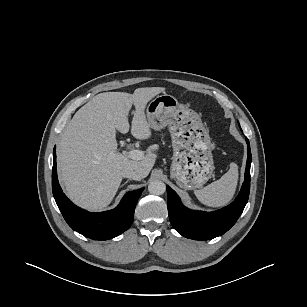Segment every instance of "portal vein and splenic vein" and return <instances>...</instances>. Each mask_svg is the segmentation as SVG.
I'll return each instance as SVG.
<instances>
[{
    "mask_svg": "<svg viewBox=\"0 0 307 307\" xmlns=\"http://www.w3.org/2000/svg\"><path fill=\"white\" fill-rule=\"evenodd\" d=\"M128 157L133 159V160H142L144 158V153L143 151L132 149L128 152Z\"/></svg>",
    "mask_w": 307,
    "mask_h": 307,
    "instance_id": "obj_1",
    "label": "portal vein and splenic vein"
}]
</instances>
